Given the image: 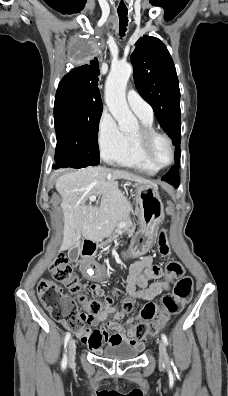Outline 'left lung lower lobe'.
I'll use <instances>...</instances> for the list:
<instances>
[{
  "label": "left lung lower lobe",
  "instance_id": "left-lung-lower-lobe-1",
  "mask_svg": "<svg viewBox=\"0 0 228 396\" xmlns=\"http://www.w3.org/2000/svg\"><path fill=\"white\" fill-rule=\"evenodd\" d=\"M175 156H176V162H178L180 159V145L176 146ZM162 180L168 182L169 184L177 188L180 183V179L178 176V166L172 167V170L168 174L163 176Z\"/></svg>",
  "mask_w": 228,
  "mask_h": 396
}]
</instances>
